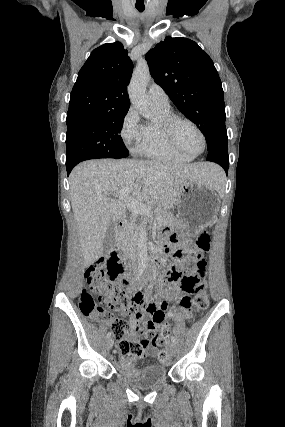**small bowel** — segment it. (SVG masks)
Returning a JSON list of instances; mask_svg holds the SVG:
<instances>
[{
    "instance_id": "c3829d8e",
    "label": "small bowel",
    "mask_w": 285,
    "mask_h": 427,
    "mask_svg": "<svg viewBox=\"0 0 285 427\" xmlns=\"http://www.w3.org/2000/svg\"><path fill=\"white\" fill-rule=\"evenodd\" d=\"M203 256L202 255H196L194 258H191L188 263L186 261L181 262L182 267L187 266V273L190 274H198L199 270L195 266V261H202ZM186 296V291H184L179 285L172 286L168 291L166 290H160L159 293L156 296V300L154 302L148 301V296L143 295L140 293H136V298L139 303V307L142 309L141 312L136 313L131 318V328H132V334L135 335L137 332V328L139 326H144L146 328H151L153 325L161 324L164 322L163 314L168 309L169 302H176L181 300L183 297ZM178 314V319H182L185 316H188L190 314V311L185 310L184 308L178 306L174 310ZM145 312L150 314L151 319H147L145 317ZM160 315L162 317H160ZM153 349L146 350L142 355H140L138 358H136L134 361L142 360L148 357L150 354H153ZM122 365H128L130 363L126 362L125 360H121Z\"/></svg>"
}]
</instances>
